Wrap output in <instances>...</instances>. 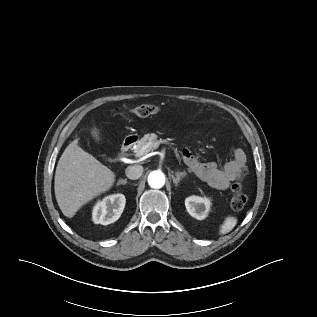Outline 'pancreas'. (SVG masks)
<instances>
[{"label": "pancreas", "mask_w": 317, "mask_h": 317, "mask_svg": "<svg viewBox=\"0 0 317 317\" xmlns=\"http://www.w3.org/2000/svg\"><path fill=\"white\" fill-rule=\"evenodd\" d=\"M148 143H151L152 145L148 148H146L145 150H143V147L145 145H147ZM159 144V142L157 141V135L155 133H151V134H145L139 141L138 144L136 146L135 149V155L136 156H141L143 154H146L148 152H150L151 150H154L156 146H154V144Z\"/></svg>", "instance_id": "1"}]
</instances>
